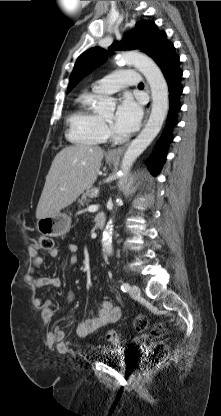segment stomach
I'll list each match as a JSON object with an SVG mask.
<instances>
[{"label": "stomach", "mask_w": 221, "mask_h": 416, "mask_svg": "<svg viewBox=\"0 0 221 416\" xmlns=\"http://www.w3.org/2000/svg\"><path fill=\"white\" fill-rule=\"evenodd\" d=\"M109 164L116 162V159H108ZM71 225V219L66 214L57 213L52 216L41 218L37 221V230L44 236L59 237L65 235Z\"/></svg>", "instance_id": "obj_1"}]
</instances>
